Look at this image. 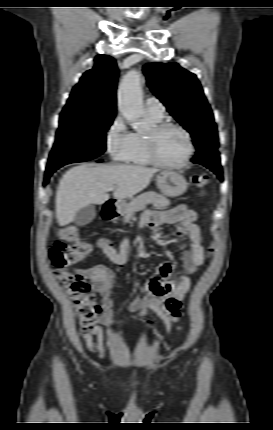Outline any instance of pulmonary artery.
<instances>
[{
    "label": "pulmonary artery",
    "mask_w": 273,
    "mask_h": 430,
    "mask_svg": "<svg viewBox=\"0 0 273 430\" xmlns=\"http://www.w3.org/2000/svg\"><path fill=\"white\" fill-rule=\"evenodd\" d=\"M146 110L147 112H150L157 116H163L165 108L159 99L155 97H150L146 100Z\"/></svg>",
    "instance_id": "e3ab8cb5"
}]
</instances>
